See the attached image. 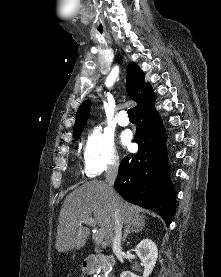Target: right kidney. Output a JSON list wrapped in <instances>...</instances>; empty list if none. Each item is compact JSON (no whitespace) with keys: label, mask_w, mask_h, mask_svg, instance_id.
<instances>
[{"label":"right kidney","mask_w":221,"mask_h":277,"mask_svg":"<svg viewBox=\"0 0 221 277\" xmlns=\"http://www.w3.org/2000/svg\"><path fill=\"white\" fill-rule=\"evenodd\" d=\"M137 256L144 266L143 277H149L158 258L157 245L150 239H143L135 248ZM120 277H138L130 271H123Z\"/></svg>","instance_id":"right-kidney-1"}]
</instances>
